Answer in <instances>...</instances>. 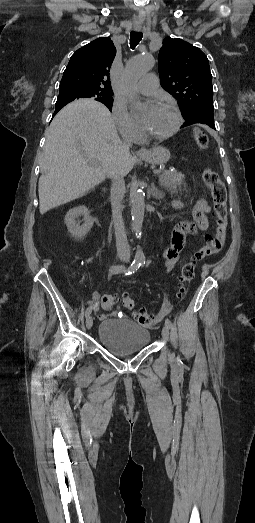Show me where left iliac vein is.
<instances>
[{
  "label": "left iliac vein",
  "instance_id": "obj_1",
  "mask_svg": "<svg viewBox=\"0 0 255 523\" xmlns=\"http://www.w3.org/2000/svg\"><path fill=\"white\" fill-rule=\"evenodd\" d=\"M162 336H163V338H164L165 340H168V338H169V327L166 326V325L162 328ZM168 355H169V357L172 356L171 353H169Z\"/></svg>",
  "mask_w": 255,
  "mask_h": 523
}]
</instances>
